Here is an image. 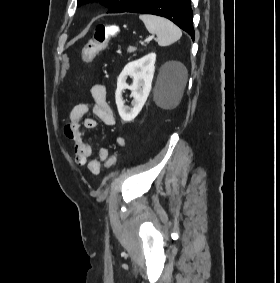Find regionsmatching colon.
Masks as SVG:
<instances>
[{
  "mask_svg": "<svg viewBox=\"0 0 280 283\" xmlns=\"http://www.w3.org/2000/svg\"><path fill=\"white\" fill-rule=\"evenodd\" d=\"M119 27L116 25H97L93 34V37L86 43L82 51V60L84 63H89L97 55L98 52L105 49L109 39L115 36ZM89 70H82L81 77L85 78L89 75ZM116 163V156L112 155L108 161L107 166L112 168Z\"/></svg>",
  "mask_w": 280,
  "mask_h": 283,
  "instance_id": "1",
  "label": "colon"
}]
</instances>
